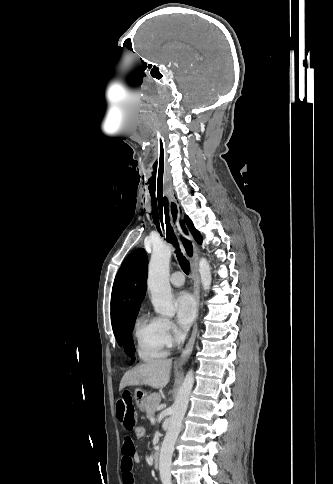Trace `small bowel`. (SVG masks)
I'll return each mask as SVG.
<instances>
[{"label": "small bowel", "mask_w": 333, "mask_h": 484, "mask_svg": "<svg viewBox=\"0 0 333 484\" xmlns=\"http://www.w3.org/2000/svg\"><path fill=\"white\" fill-rule=\"evenodd\" d=\"M116 418L125 431L133 432L137 426V412L133 403L130 390L125 389L116 402ZM139 461L136 453L134 440L131 435L123 439L121 472L123 484H134L133 465Z\"/></svg>", "instance_id": "obj_1"}]
</instances>
